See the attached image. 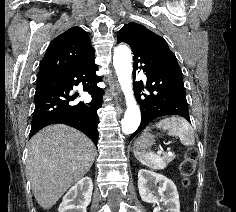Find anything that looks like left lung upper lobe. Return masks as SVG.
I'll return each instance as SVG.
<instances>
[{"label":"left lung upper lobe","instance_id":"obj_1","mask_svg":"<svg viewBox=\"0 0 236 212\" xmlns=\"http://www.w3.org/2000/svg\"><path fill=\"white\" fill-rule=\"evenodd\" d=\"M119 34H127L140 41L159 42L161 45L168 47L166 41L161 36L138 23L130 22L124 25Z\"/></svg>","mask_w":236,"mask_h":212}]
</instances>
